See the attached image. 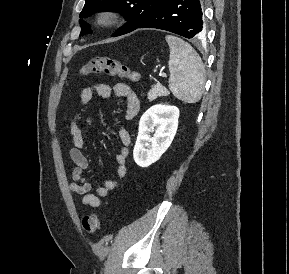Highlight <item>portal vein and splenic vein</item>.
<instances>
[{
  "instance_id": "1",
  "label": "portal vein and splenic vein",
  "mask_w": 289,
  "mask_h": 274,
  "mask_svg": "<svg viewBox=\"0 0 289 274\" xmlns=\"http://www.w3.org/2000/svg\"><path fill=\"white\" fill-rule=\"evenodd\" d=\"M160 76L161 77H166L167 75H166V73H162V74H160Z\"/></svg>"
}]
</instances>
